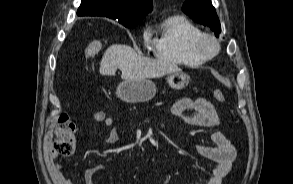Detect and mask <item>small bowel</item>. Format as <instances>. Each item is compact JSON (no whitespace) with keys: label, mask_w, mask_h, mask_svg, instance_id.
Returning <instances> with one entry per match:
<instances>
[{"label":"small bowel","mask_w":293,"mask_h":184,"mask_svg":"<svg viewBox=\"0 0 293 184\" xmlns=\"http://www.w3.org/2000/svg\"><path fill=\"white\" fill-rule=\"evenodd\" d=\"M171 112L187 124L212 129L210 139L213 145H197L196 151L201 156L215 162L211 176L204 184H222L232 168L236 158V149L230 140L216 129L220 124V119L213 104L206 98H182L172 106ZM92 120L96 123H103L106 127H112L114 124L113 119L101 110L92 114ZM105 141L108 144H114L118 141L117 127L111 129ZM106 169L105 165H97L86 169L84 172V184H93L94 176ZM49 170L57 184H76L72 179L64 175L62 165L54 157L49 163Z\"/></svg>","instance_id":"obj_1"}]
</instances>
